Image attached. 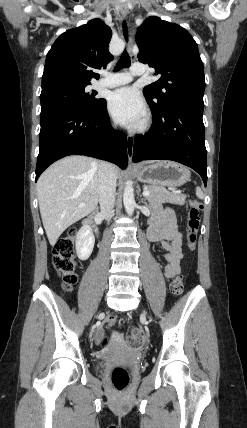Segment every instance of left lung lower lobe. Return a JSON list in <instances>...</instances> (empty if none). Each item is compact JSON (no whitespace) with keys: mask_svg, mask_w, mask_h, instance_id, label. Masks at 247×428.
Masks as SVG:
<instances>
[{"mask_svg":"<svg viewBox=\"0 0 247 428\" xmlns=\"http://www.w3.org/2000/svg\"><path fill=\"white\" fill-rule=\"evenodd\" d=\"M153 114V126L138 135L133 145V161L173 160L194 169L207 184L203 107L177 102L168 110Z\"/></svg>","mask_w":247,"mask_h":428,"instance_id":"left-lung-lower-lobe-1","label":"left lung lower lobe"}]
</instances>
